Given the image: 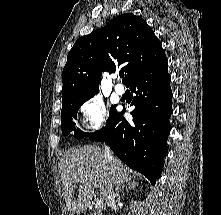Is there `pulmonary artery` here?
<instances>
[{"instance_id": "pulmonary-artery-1", "label": "pulmonary artery", "mask_w": 221, "mask_h": 215, "mask_svg": "<svg viewBox=\"0 0 221 215\" xmlns=\"http://www.w3.org/2000/svg\"><path fill=\"white\" fill-rule=\"evenodd\" d=\"M115 91H116L117 94L123 95L124 92H125V87H124L122 84L117 83V84L115 85Z\"/></svg>"}]
</instances>
